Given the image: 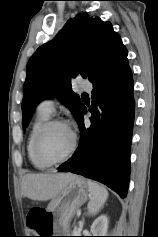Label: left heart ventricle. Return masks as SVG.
Returning <instances> with one entry per match:
<instances>
[{"instance_id": "b2bd125f", "label": "left heart ventricle", "mask_w": 158, "mask_h": 237, "mask_svg": "<svg viewBox=\"0 0 158 237\" xmlns=\"http://www.w3.org/2000/svg\"><path fill=\"white\" fill-rule=\"evenodd\" d=\"M72 143L70 130L62 125L52 127L44 136L41 144L42 152L51 159L64 156Z\"/></svg>"}]
</instances>
